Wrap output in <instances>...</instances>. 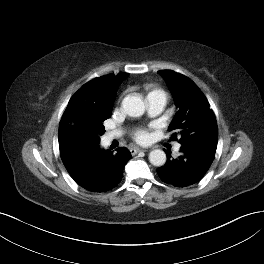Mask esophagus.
<instances>
[{
    "label": "esophagus",
    "instance_id": "esophagus-1",
    "mask_svg": "<svg viewBox=\"0 0 264 264\" xmlns=\"http://www.w3.org/2000/svg\"><path fill=\"white\" fill-rule=\"evenodd\" d=\"M145 151H146V150L139 149V148H131V149H130V152H131L132 155H135V154H137V153H139V152H145Z\"/></svg>",
    "mask_w": 264,
    "mask_h": 264
}]
</instances>
